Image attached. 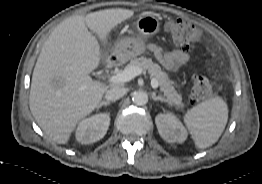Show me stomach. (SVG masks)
Wrapping results in <instances>:
<instances>
[{
  "mask_svg": "<svg viewBox=\"0 0 262 184\" xmlns=\"http://www.w3.org/2000/svg\"><path fill=\"white\" fill-rule=\"evenodd\" d=\"M134 28L137 35L118 41L112 50V57L126 61L145 53L146 41L160 30V22L155 15L144 13L138 16Z\"/></svg>",
  "mask_w": 262,
  "mask_h": 184,
  "instance_id": "stomach-1",
  "label": "stomach"
}]
</instances>
